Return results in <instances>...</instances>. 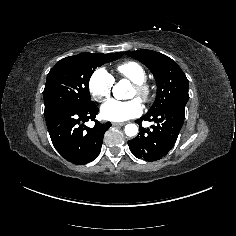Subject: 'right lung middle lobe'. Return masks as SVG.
I'll return each mask as SVG.
<instances>
[{"mask_svg":"<svg viewBox=\"0 0 236 236\" xmlns=\"http://www.w3.org/2000/svg\"><path fill=\"white\" fill-rule=\"evenodd\" d=\"M123 52L81 53L61 59L47 75L43 98L45 110L59 105L84 108L93 104L89 80L94 70L120 58Z\"/></svg>","mask_w":236,"mask_h":236,"instance_id":"right-lung-middle-lobe-1","label":"right lung middle lobe"}]
</instances>
